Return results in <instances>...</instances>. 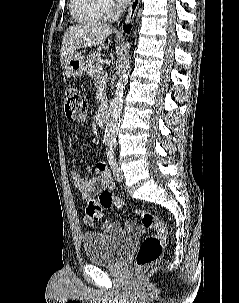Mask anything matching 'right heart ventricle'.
<instances>
[{"label": "right heart ventricle", "instance_id": "e07e8e85", "mask_svg": "<svg viewBox=\"0 0 239 303\" xmlns=\"http://www.w3.org/2000/svg\"><path fill=\"white\" fill-rule=\"evenodd\" d=\"M70 2L72 16L78 22L91 23L105 19L99 0H70Z\"/></svg>", "mask_w": 239, "mask_h": 303}]
</instances>
